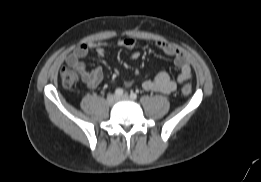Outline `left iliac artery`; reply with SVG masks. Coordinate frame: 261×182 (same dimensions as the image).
I'll return each mask as SVG.
<instances>
[{
    "mask_svg": "<svg viewBox=\"0 0 261 182\" xmlns=\"http://www.w3.org/2000/svg\"><path fill=\"white\" fill-rule=\"evenodd\" d=\"M130 98L133 99V100H135V99L137 98V94L134 93V92H131V93H130Z\"/></svg>",
    "mask_w": 261,
    "mask_h": 182,
    "instance_id": "left-iliac-artery-1",
    "label": "left iliac artery"
}]
</instances>
